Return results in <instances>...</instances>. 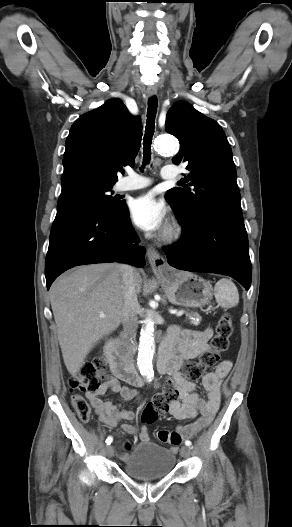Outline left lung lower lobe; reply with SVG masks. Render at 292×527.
Returning a JSON list of instances; mask_svg holds the SVG:
<instances>
[{
    "mask_svg": "<svg viewBox=\"0 0 292 527\" xmlns=\"http://www.w3.org/2000/svg\"><path fill=\"white\" fill-rule=\"evenodd\" d=\"M182 227V240L163 248L171 266L231 276L249 289L251 262L242 216L208 215Z\"/></svg>",
    "mask_w": 292,
    "mask_h": 527,
    "instance_id": "1",
    "label": "left lung lower lobe"
}]
</instances>
